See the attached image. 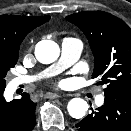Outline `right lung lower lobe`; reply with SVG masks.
<instances>
[{"mask_svg": "<svg viewBox=\"0 0 131 131\" xmlns=\"http://www.w3.org/2000/svg\"><path fill=\"white\" fill-rule=\"evenodd\" d=\"M3 92L4 89L0 90V131H32L36 103L27 93H23L21 99L6 102Z\"/></svg>", "mask_w": 131, "mask_h": 131, "instance_id": "98d812e1", "label": "right lung lower lobe"}]
</instances>
